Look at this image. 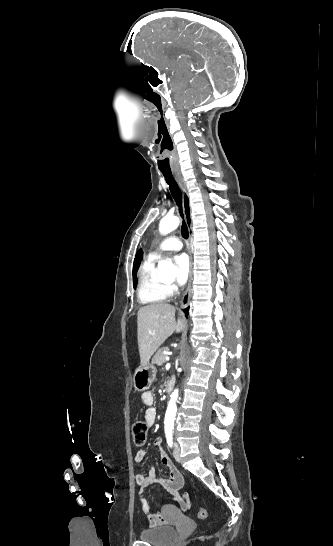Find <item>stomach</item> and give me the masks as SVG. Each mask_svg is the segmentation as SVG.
<instances>
[{"label":"stomach","instance_id":"1","mask_svg":"<svg viewBox=\"0 0 333 546\" xmlns=\"http://www.w3.org/2000/svg\"><path fill=\"white\" fill-rule=\"evenodd\" d=\"M157 369L154 364L140 365L133 375L134 387L138 391H146L150 388L156 377Z\"/></svg>","mask_w":333,"mask_h":546}]
</instances>
